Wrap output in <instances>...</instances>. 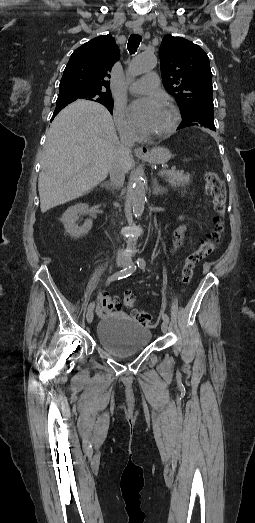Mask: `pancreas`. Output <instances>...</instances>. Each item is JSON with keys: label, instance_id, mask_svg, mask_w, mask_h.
Returning <instances> with one entry per match:
<instances>
[{"label": "pancreas", "instance_id": "cf45deb5", "mask_svg": "<svg viewBox=\"0 0 255 523\" xmlns=\"http://www.w3.org/2000/svg\"><path fill=\"white\" fill-rule=\"evenodd\" d=\"M163 178H166V182H169L171 186H186L189 184V174H183V172H173L172 174H163Z\"/></svg>", "mask_w": 255, "mask_h": 523}]
</instances>
